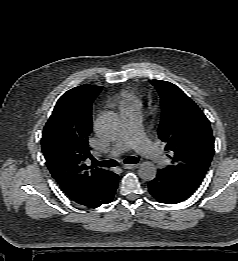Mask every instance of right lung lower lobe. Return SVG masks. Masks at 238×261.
<instances>
[{
    "label": "right lung lower lobe",
    "mask_w": 238,
    "mask_h": 261,
    "mask_svg": "<svg viewBox=\"0 0 238 261\" xmlns=\"http://www.w3.org/2000/svg\"><path fill=\"white\" fill-rule=\"evenodd\" d=\"M118 186V175L109 171L98 188L82 201L77 202L90 208H96L102 204L110 203Z\"/></svg>",
    "instance_id": "1"
}]
</instances>
